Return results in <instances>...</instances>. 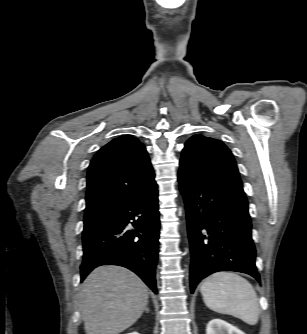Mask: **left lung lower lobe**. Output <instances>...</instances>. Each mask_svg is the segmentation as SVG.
Listing matches in <instances>:
<instances>
[{
	"mask_svg": "<svg viewBox=\"0 0 307 334\" xmlns=\"http://www.w3.org/2000/svg\"><path fill=\"white\" fill-rule=\"evenodd\" d=\"M191 250L190 288L211 273L236 271L260 282L248 201L243 188L178 173Z\"/></svg>",
	"mask_w": 307,
	"mask_h": 334,
	"instance_id": "1",
	"label": "left lung lower lobe"
}]
</instances>
